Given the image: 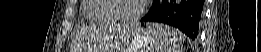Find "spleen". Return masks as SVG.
<instances>
[{
  "instance_id": "obj_1",
  "label": "spleen",
  "mask_w": 261,
  "mask_h": 52,
  "mask_svg": "<svg viewBox=\"0 0 261 52\" xmlns=\"http://www.w3.org/2000/svg\"><path fill=\"white\" fill-rule=\"evenodd\" d=\"M148 30L155 41V52H180L181 34L161 24H148Z\"/></svg>"
}]
</instances>
